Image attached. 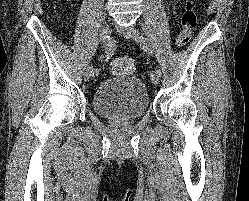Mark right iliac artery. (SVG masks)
<instances>
[{
	"instance_id": "1",
	"label": "right iliac artery",
	"mask_w": 249,
	"mask_h": 201,
	"mask_svg": "<svg viewBox=\"0 0 249 201\" xmlns=\"http://www.w3.org/2000/svg\"><path fill=\"white\" fill-rule=\"evenodd\" d=\"M104 49H105V53H106V57L107 59H109L111 53H112V45L110 44V42H105L104 43ZM92 76H97L99 74V69H92L91 71Z\"/></svg>"
}]
</instances>
